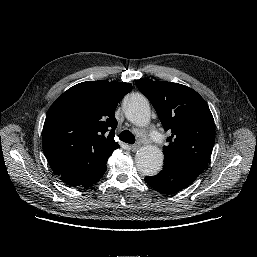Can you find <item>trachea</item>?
Here are the masks:
<instances>
[{
    "label": "trachea",
    "mask_w": 257,
    "mask_h": 257,
    "mask_svg": "<svg viewBox=\"0 0 257 257\" xmlns=\"http://www.w3.org/2000/svg\"><path fill=\"white\" fill-rule=\"evenodd\" d=\"M119 139L125 143H135V136L129 130L122 131L119 135Z\"/></svg>",
    "instance_id": "obj_1"
}]
</instances>
